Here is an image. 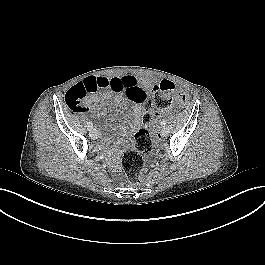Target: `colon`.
Segmentation results:
<instances>
[{
  "mask_svg": "<svg viewBox=\"0 0 265 265\" xmlns=\"http://www.w3.org/2000/svg\"><path fill=\"white\" fill-rule=\"evenodd\" d=\"M97 90L98 85L92 79H87L84 83L77 84L66 92L65 102L73 112H81L87 96ZM174 100L185 103L187 95L177 93L172 82L162 80L153 88L152 98H148V101L142 104L145 109L144 127L134 137V148L126 151L122 156V167L130 182L138 183L142 180L144 167L142 154L149 153L157 140L156 135L149 128L156 123L157 111L167 109Z\"/></svg>",
  "mask_w": 265,
  "mask_h": 265,
  "instance_id": "5ec220e1",
  "label": "colon"
}]
</instances>
